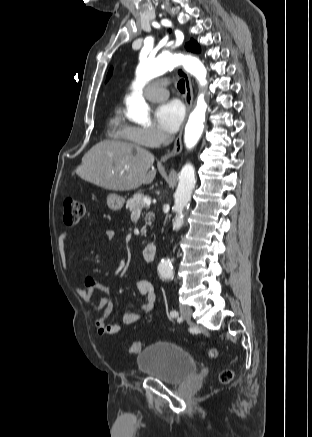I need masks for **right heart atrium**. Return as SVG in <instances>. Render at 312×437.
<instances>
[{"label": "right heart atrium", "instance_id": "1", "mask_svg": "<svg viewBox=\"0 0 312 437\" xmlns=\"http://www.w3.org/2000/svg\"><path fill=\"white\" fill-rule=\"evenodd\" d=\"M129 135L135 142L147 147H156L167 140L155 127H130Z\"/></svg>", "mask_w": 312, "mask_h": 437}]
</instances>
